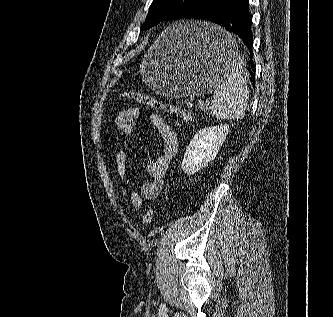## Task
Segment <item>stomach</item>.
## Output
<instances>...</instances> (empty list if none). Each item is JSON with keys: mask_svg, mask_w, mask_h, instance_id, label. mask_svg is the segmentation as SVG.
Returning <instances> with one entry per match:
<instances>
[{"mask_svg": "<svg viewBox=\"0 0 333 317\" xmlns=\"http://www.w3.org/2000/svg\"><path fill=\"white\" fill-rule=\"evenodd\" d=\"M221 24L191 21L168 27L150 46L140 63L144 81L167 97L208 95L224 81L227 69L245 62L237 41Z\"/></svg>", "mask_w": 333, "mask_h": 317, "instance_id": "0dacf381", "label": "stomach"}]
</instances>
